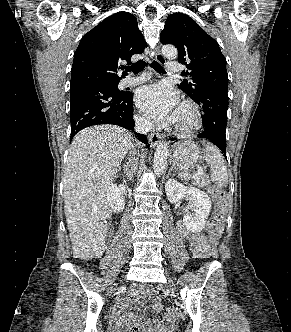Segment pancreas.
<instances>
[{"mask_svg": "<svg viewBox=\"0 0 291 332\" xmlns=\"http://www.w3.org/2000/svg\"><path fill=\"white\" fill-rule=\"evenodd\" d=\"M194 185L199 187H208L210 186V180L207 175H202L196 178Z\"/></svg>", "mask_w": 291, "mask_h": 332, "instance_id": "cf45deb5", "label": "pancreas"}]
</instances>
